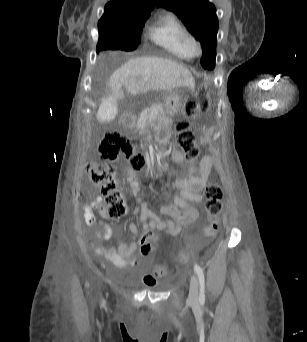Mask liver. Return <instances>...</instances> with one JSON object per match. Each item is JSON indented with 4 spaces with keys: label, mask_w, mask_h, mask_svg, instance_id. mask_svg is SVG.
I'll list each match as a JSON object with an SVG mask.
<instances>
[{
    "label": "liver",
    "mask_w": 307,
    "mask_h": 342,
    "mask_svg": "<svg viewBox=\"0 0 307 342\" xmlns=\"http://www.w3.org/2000/svg\"><path fill=\"white\" fill-rule=\"evenodd\" d=\"M109 95L144 94L150 90H174L189 88L193 90L195 80L187 68L155 56H141L123 64L115 70L109 80ZM122 88H125L122 90Z\"/></svg>",
    "instance_id": "liver-1"
}]
</instances>
